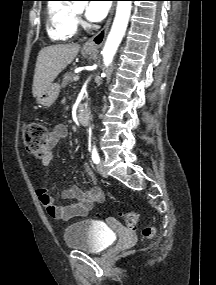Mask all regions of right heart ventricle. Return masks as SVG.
<instances>
[{
  "label": "right heart ventricle",
  "mask_w": 216,
  "mask_h": 285,
  "mask_svg": "<svg viewBox=\"0 0 216 285\" xmlns=\"http://www.w3.org/2000/svg\"><path fill=\"white\" fill-rule=\"evenodd\" d=\"M47 33L53 42H66L77 32V19L73 6L60 0L47 4Z\"/></svg>",
  "instance_id": "1"
}]
</instances>
